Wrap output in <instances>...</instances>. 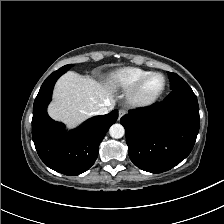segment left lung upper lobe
Wrapping results in <instances>:
<instances>
[{"label": "left lung upper lobe", "mask_w": 224, "mask_h": 224, "mask_svg": "<svg viewBox=\"0 0 224 224\" xmlns=\"http://www.w3.org/2000/svg\"><path fill=\"white\" fill-rule=\"evenodd\" d=\"M168 77L170 79V87L172 90L186 84V82L175 73L168 72Z\"/></svg>", "instance_id": "left-lung-upper-lobe-1"}]
</instances>
